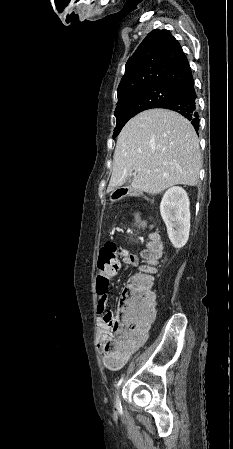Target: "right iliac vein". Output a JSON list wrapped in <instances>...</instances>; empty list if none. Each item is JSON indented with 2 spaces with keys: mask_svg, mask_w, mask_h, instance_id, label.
I'll return each mask as SVG.
<instances>
[{
  "mask_svg": "<svg viewBox=\"0 0 233 449\" xmlns=\"http://www.w3.org/2000/svg\"><path fill=\"white\" fill-rule=\"evenodd\" d=\"M115 405H116V407H119V406H120L119 391L116 392V394H115Z\"/></svg>",
  "mask_w": 233,
  "mask_h": 449,
  "instance_id": "63e3f726",
  "label": "right iliac vein"
}]
</instances>
